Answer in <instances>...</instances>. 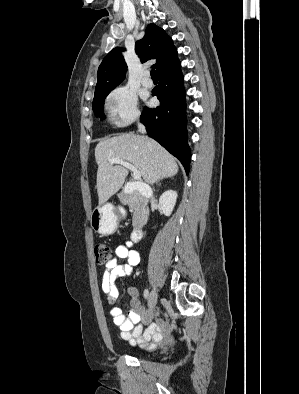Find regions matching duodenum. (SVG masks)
<instances>
[{
    "label": "duodenum",
    "instance_id": "1",
    "mask_svg": "<svg viewBox=\"0 0 299 394\" xmlns=\"http://www.w3.org/2000/svg\"><path fill=\"white\" fill-rule=\"evenodd\" d=\"M129 190L138 192L143 198H146V199H148L152 196L151 188L144 183H140V182L133 183L129 187ZM143 229H144V223H139L137 225V227L133 230L132 235H131L133 242L140 241Z\"/></svg>",
    "mask_w": 299,
    "mask_h": 394
}]
</instances>
